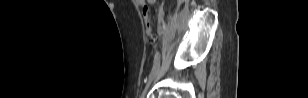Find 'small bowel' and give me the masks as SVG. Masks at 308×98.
<instances>
[{
  "mask_svg": "<svg viewBox=\"0 0 308 98\" xmlns=\"http://www.w3.org/2000/svg\"><path fill=\"white\" fill-rule=\"evenodd\" d=\"M153 2H154L153 0L149 1V3H153ZM138 3L141 7L146 5V2L144 0H139Z\"/></svg>",
  "mask_w": 308,
  "mask_h": 98,
  "instance_id": "1",
  "label": "small bowel"
}]
</instances>
